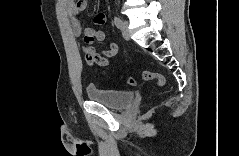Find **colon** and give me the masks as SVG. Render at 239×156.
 I'll return each instance as SVG.
<instances>
[{"label":"colon","instance_id":"colon-1","mask_svg":"<svg viewBox=\"0 0 239 156\" xmlns=\"http://www.w3.org/2000/svg\"><path fill=\"white\" fill-rule=\"evenodd\" d=\"M143 79L145 81H154L158 86H163V84H164L163 76L156 72L145 71L143 73ZM127 84L129 86H134L136 84V81L134 78L130 77L127 80Z\"/></svg>","mask_w":239,"mask_h":156}]
</instances>
